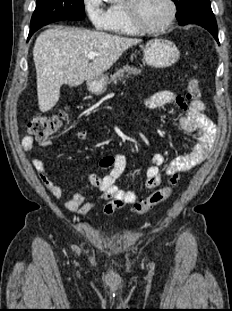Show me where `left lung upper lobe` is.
Segmentation results:
<instances>
[{"mask_svg": "<svg viewBox=\"0 0 232 311\" xmlns=\"http://www.w3.org/2000/svg\"><path fill=\"white\" fill-rule=\"evenodd\" d=\"M177 7L176 17L180 18L183 14L193 10L202 3L209 2V0H173Z\"/></svg>", "mask_w": 232, "mask_h": 311, "instance_id": "5c2ea615", "label": "left lung upper lobe"}]
</instances>
